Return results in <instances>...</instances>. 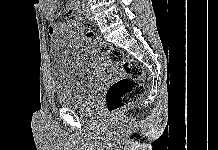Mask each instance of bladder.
I'll return each instance as SVG.
<instances>
[{
  "mask_svg": "<svg viewBox=\"0 0 218 150\" xmlns=\"http://www.w3.org/2000/svg\"><path fill=\"white\" fill-rule=\"evenodd\" d=\"M52 56L57 68L55 101L61 107L87 106L102 81L115 70L97 48L66 32L53 38Z\"/></svg>",
  "mask_w": 218,
  "mask_h": 150,
  "instance_id": "bladder-1",
  "label": "bladder"
}]
</instances>
